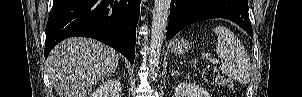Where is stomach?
Wrapping results in <instances>:
<instances>
[{
	"label": "stomach",
	"mask_w": 302,
	"mask_h": 97,
	"mask_svg": "<svg viewBox=\"0 0 302 97\" xmlns=\"http://www.w3.org/2000/svg\"><path fill=\"white\" fill-rule=\"evenodd\" d=\"M192 41L186 39H175L172 42L171 50L177 54H184L192 48Z\"/></svg>",
	"instance_id": "stomach-1"
}]
</instances>
